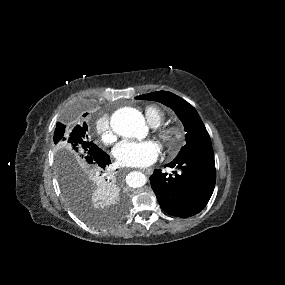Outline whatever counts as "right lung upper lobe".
I'll list each match as a JSON object with an SVG mask.
<instances>
[{"instance_id": "1", "label": "right lung upper lobe", "mask_w": 285, "mask_h": 285, "mask_svg": "<svg viewBox=\"0 0 285 285\" xmlns=\"http://www.w3.org/2000/svg\"><path fill=\"white\" fill-rule=\"evenodd\" d=\"M102 183L105 185L107 182H105L104 180H102ZM102 184H97V186H104Z\"/></svg>"}]
</instances>
